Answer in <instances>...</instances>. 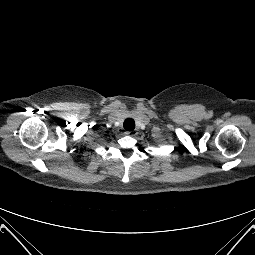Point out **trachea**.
Here are the masks:
<instances>
[{
  "instance_id": "3493384b",
  "label": "trachea",
  "mask_w": 255,
  "mask_h": 255,
  "mask_svg": "<svg viewBox=\"0 0 255 255\" xmlns=\"http://www.w3.org/2000/svg\"><path fill=\"white\" fill-rule=\"evenodd\" d=\"M124 129L127 131H132L135 129V121L131 118H128L124 121Z\"/></svg>"
}]
</instances>
